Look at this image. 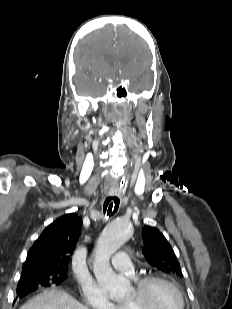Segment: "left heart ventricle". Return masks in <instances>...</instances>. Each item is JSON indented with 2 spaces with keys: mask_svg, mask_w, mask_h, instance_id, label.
I'll list each match as a JSON object with an SVG mask.
<instances>
[{
  "mask_svg": "<svg viewBox=\"0 0 232 309\" xmlns=\"http://www.w3.org/2000/svg\"><path fill=\"white\" fill-rule=\"evenodd\" d=\"M133 296V290L128 299ZM150 305L153 309H180L181 300L177 292L164 283H154L149 291Z\"/></svg>",
  "mask_w": 232,
  "mask_h": 309,
  "instance_id": "obj_1",
  "label": "left heart ventricle"
}]
</instances>
